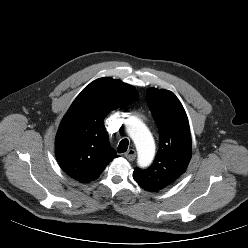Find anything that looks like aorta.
Returning <instances> with one entry per match:
<instances>
[{
  "mask_svg": "<svg viewBox=\"0 0 248 248\" xmlns=\"http://www.w3.org/2000/svg\"><path fill=\"white\" fill-rule=\"evenodd\" d=\"M126 131L136 146L138 164L148 166L155 155V143L149 129L140 119L131 117L126 121Z\"/></svg>",
  "mask_w": 248,
  "mask_h": 248,
  "instance_id": "aorta-1",
  "label": "aorta"
}]
</instances>
